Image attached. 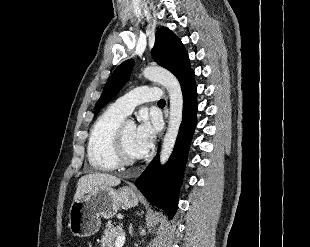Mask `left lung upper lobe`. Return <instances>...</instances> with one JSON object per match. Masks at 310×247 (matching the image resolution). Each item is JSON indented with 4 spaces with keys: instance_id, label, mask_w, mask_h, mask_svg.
Returning <instances> with one entry per match:
<instances>
[{
    "instance_id": "1",
    "label": "left lung upper lobe",
    "mask_w": 310,
    "mask_h": 247,
    "mask_svg": "<svg viewBox=\"0 0 310 247\" xmlns=\"http://www.w3.org/2000/svg\"><path fill=\"white\" fill-rule=\"evenodd\" d=\"M152 56L159 65L172 72L179 81L191 71L188 54L183 44L166 27L158 29L156 33ZM133 66L134 60L129 59L115 69L107 81L100 99L95 105V115L117 95L128 81Z\"/></svg>"
}]
</instances>
